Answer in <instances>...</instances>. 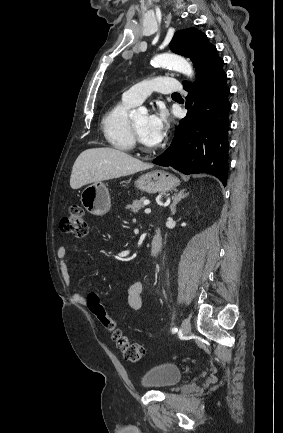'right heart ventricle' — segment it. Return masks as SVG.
Returning a JSON list of instances; mask_svg holds the SVG:
<instances>
[{
    "mask_svg": "<svg viewBox=\"0 0 283 433\" xmlns=\"http://www.w3.org/2000/svg\"><path fill=\"white\" fill-rule=\"evenodd\" d=\"M133 104L124 98L109 109L102 117L101 128L105 139L112 147L125 151V146L134 144L130 119Z\"/></svg>",
    "mask_w": 283,
    "mask_h": 433,
    "instance_id": "e07e8e85",
    "label": "right heart ventricle"
}]
</instances>
